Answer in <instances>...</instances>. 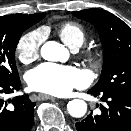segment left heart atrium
Wrapping results in <instances>:
<instances>
[{"label": "left heart atrium", "instance_id": "39dd6f15", "mask_svg": "<svg viewBox=\"0 0 131 131\" xmlns=\"http://www.w3.org/2000/svg\"><path fill=\"white\" fill-rule=\"evenodd\" d=\"M27 82L34 91L64 96L74 88L83 87L86 78L75 67L44 63L28 73Z\"/></svg>", "mask_w": 131, "mask_h": 131}]
</instances>
